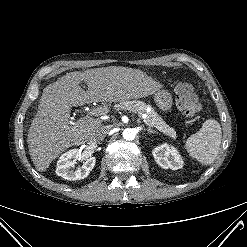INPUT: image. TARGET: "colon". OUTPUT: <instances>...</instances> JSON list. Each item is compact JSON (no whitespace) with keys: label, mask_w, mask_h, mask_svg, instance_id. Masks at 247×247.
I'll return each instance as SVG.
<instances>
[{"label":"colon","mask_w":247,"mask_h":247,"mask_svg":"<svg viewBox=\"0 0 247 247\" xmlns=\"http://www.w3.org/2000/svg\"><path fill=\"white\" fill-rule=\"evenodd\" d=\"M176 105L186 117H194L202 106L195 88L189 83H180L175 89Z\"/></svg>","instance_id":"obj_1"}]
</instances>
